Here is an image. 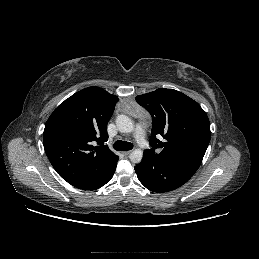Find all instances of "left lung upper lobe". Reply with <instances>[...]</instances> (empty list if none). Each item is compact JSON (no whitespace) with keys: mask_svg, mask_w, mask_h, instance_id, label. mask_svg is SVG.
Listing matches in <instances>:
<instances>
[{"mask_svg":"<svg viewBox=\"0 0 259 259\" xmlns=\"http://www.w3.org/2000/svg\"><path fill=\"white\" fill-rule=\"evenodd\" d=\"M136 101L153 118V148L144 153L197 170L211 136L209 119L201 106L173 89H157L137 96ZM157 135L165 141H159ZM157 148L159 152H155Z\"/></svg>","mask_w":259,"mask_h":259,"instance_id":"1","label":"left lung upper lobe"}]
</instances>
